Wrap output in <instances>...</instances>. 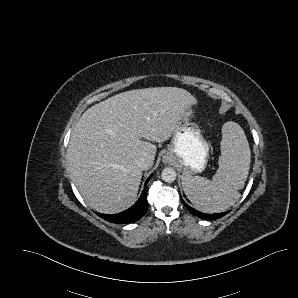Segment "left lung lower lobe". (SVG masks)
<instances>
[{
	"instance_id": "left-lung-lower-lobe-1",
	"label": "left lung lower lobe",
	"mask_w": 298,
	"mask_h": 298,
	"mask_svg": "<svg viewBox=\"0 0 298 298\" xmlns=\"http://www.w3.org/2000/svg\"><path fill=\"white\" fill-rule=\"evenodd\" d=\"M182 202L192 214H194L195 216L202 218V219H207V220L217 219V218H220V217L226 215L229 212L228 211V212H222V213H216V214H205V213L199 212V211L191 208L183 200H182Z\"/></svg>"
}]
</instances>
